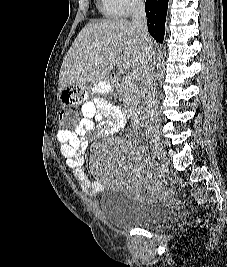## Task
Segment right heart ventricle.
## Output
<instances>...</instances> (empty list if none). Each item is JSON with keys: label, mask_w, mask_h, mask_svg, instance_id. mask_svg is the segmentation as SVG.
<instances>
[{"label": "right heart ventricle", "mask_w": 227, "mask_h": 267, "mask_svg": "<svg viewBox=\"0 0 227 267\" xmlns=\"http://www.w3.org/2000/svg\"><path fill=\"white\" fill-rule=\"evenodd\" d=\"M100 11L106 17L115 18L120 15L118 9L115 7L110 0H100L99 2Z\"/></svg>", "instance_id": "e07e8e85"}]
</instances>
